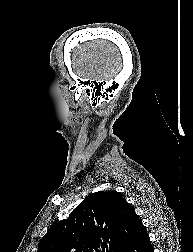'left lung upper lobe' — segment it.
I'll return each mask as SVG.
<instances>
[{
    "label": "left lung upper lobe",
    "instance_id": "left-lung-upper-lobe-1",
    "mask_svg": "<svg viewBox=\"0 0 193 252\" xmlns=\"http://www.w3.org/2000/svg\"><path fill=\"white\" fill-rule=\"evenodd\" d=\"M140 222L119 192H95L49 229L38 252H124Z\"/></svg>",
    "mask_w": 193,
    "mask_h": 252
}]
</instances>
